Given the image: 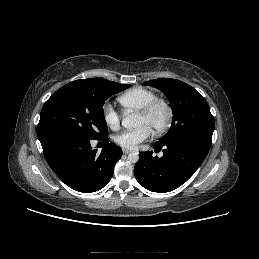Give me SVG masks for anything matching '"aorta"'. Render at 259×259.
<instances>
[{
    "label": "aorta",
    "instance_id": "aorta-1",
    "mask_svg": "<svg viewBox=\"0 0 259 259\" xmlns=\"http://www.w3.org/2000/svg\"><path fill=\"white\" fill-rule=\"evenodd\" d=\"M140 125V117L135 113L127 114L122 119V126L128 130L138 128ZM128 160L131 163H136L139 160L138 152H131L128 154Z\"/></svg>",
    "mask_w": 259,
    "mask_h": 259
}]
</instances>
